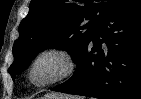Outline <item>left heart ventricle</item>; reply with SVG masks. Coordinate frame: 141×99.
Listing matches in <instances>:
<instances>
[{"instance_id":"left-heart-ventricle-1","label":"left heart ventricle","mask_w":141,"mask_h":99,"mask_svg":"<svg viewBox=\"0 0 141 99\" xmlns=\"http://www.w3.org/2000/svg\"><path fill=\"white\" fill-rule=\"evenodd\" d=\"M66 68L64 60L58 56H46L35 66L32 79L35 83H45L60 76Z\"/></svg>"}]
</instances>
